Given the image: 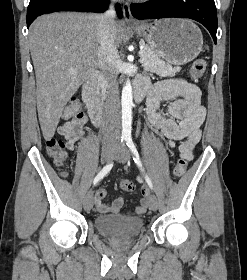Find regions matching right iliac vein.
Segmentation results:
<instances>
[{
  "label": "right iliac vein",
  "instance_id": "63e3f726",
  "mask_svg": "<svg viewBox=\"0 0 247 280\" xmlns=\"http://www.w3.org/2000/svg\"><path fill=\"white\" fill-rule=\"evenodd\" d=\"M114 155V146L106 145L103 148L102 158L105 162H110ZM93 206V191H89L83 200V207L86 211H90Z\"/></svg>",
  "mask_w": 247,
  "mask_h": 280
}]
</instances>
